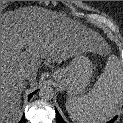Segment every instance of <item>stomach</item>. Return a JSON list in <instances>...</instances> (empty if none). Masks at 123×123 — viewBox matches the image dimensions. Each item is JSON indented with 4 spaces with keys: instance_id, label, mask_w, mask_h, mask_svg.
Here are the masks:
<instances>
[{
    "instance_id": "obj_1",
    "label": "stomach",
    "mask_w": 123,
    "mask_h": 123,
    "mask_svg": "<svg viewBox=\"0 0 123 123\" xmlns=\"http://www.w3.org/2000/svg\"><path fill=\"white\" fill-rule=\"evenodd\" d=\"M93 72L92 62L85 52L77 51L72 56L70 63L53 73V79L64 85L68 95L75 96L82 94L89 84Z\"/></svg>"
}]
</instances>
